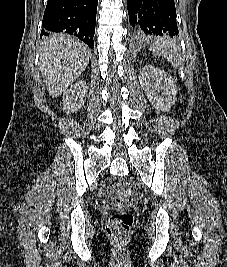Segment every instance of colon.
Returning <instances> with one entry per match:
<instances>
[{
  "label": "colon",
  "mask_w": 227,
  "mask_h": 267,
  "mask_svg": "<svg viewBox=\"0 0 227 267\" xmlns=\"http://www.w3.org/2000/svg\"><path fill=\"white\" fill-rule=\"evenodd\" d=\"M113 200L120 205L127 204L134 198L132 185L126 180H119L111 186ZM134 217L130 212L119 211L113 213L106 222V231L117 246L127 243Z\"/></svg>",
  "instance_id": "obj_1"
}]
</instances>
